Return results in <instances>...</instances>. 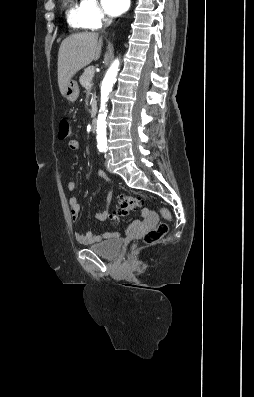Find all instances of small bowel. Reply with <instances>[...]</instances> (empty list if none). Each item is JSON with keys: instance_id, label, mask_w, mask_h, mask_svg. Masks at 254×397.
<instances>
[{"instance_id": "c3829d8e", "label": "small bowel", "mask_w": 254, "mask_h": 397, "mask_svg": "<svg viewBox=\"0 0 254 397\" xmlns=\"http://www.w3.org/2000/svg\"><path fill=\"white\" fill-rule=\"evenodd\" d=\"M68 147L70 150L72 151H77L79 149V142L77 140H70L68 143ZM97 175L108 181L111 182V179L101 170H99L97 172ZM76 183L74 181H70L67 185L68 191L69 192H74L76 190ZM112 199V190H110L106 197V209L104 211H98L95 213V217L98 220H105L108 215H109V204L111 202ZM69 210H70V215H71V220L73 223H75L78 220L79 217V213L81 210V205L78 201V199L75 196H71L69 198ZM144 216L149 219L152 217V214L148 211L144 212ZM119 237V233L117 232H106L102 235H96L94 233H92L91 231H87L85 233H75V239L77 242L81 243V244H85V245H89V244H94V243H98L101 242L102 240H110V239H115Z\"/></svg>"}]
</instances>
